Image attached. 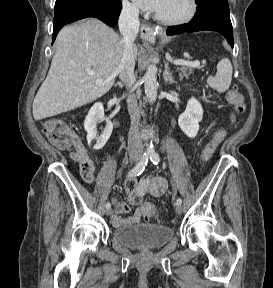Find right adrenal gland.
Wrapping results in <instances>:
<instances>
[{"label":"right adrenal gland","mask_w":273,"mask_h":288,"mask_svg":"<svg viewBox=\"0 0 273 288\" xmlns=\"http://www.w3.org/2000/svg\"><path fill=\"white\" fill-rule=\"evenodd\" d=\"M115 86H119L120 88H123V83L117 82V83L115 84Z\"/></svg>","instance_id":"right-adrenal-gland-1"}]
</instances>
